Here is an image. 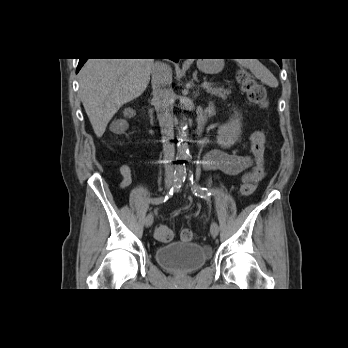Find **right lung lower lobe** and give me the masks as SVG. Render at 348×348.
Instances as JSON below:
<instances>
[{"label": "right lung lower lobe", "instance_id": "1", "mask_svg": "<svg viewBox=\"0 0 348 348\" xmlns=\"http://www.w3.org/2000/svg\"><path fill=\"white\" fill-rule=\"evenodd\" d=\"M87 59H79V63H78V67L76 72L78 73V71L81 69V67L84 65V63L86 62ZM173 61L177 62L178 59H172Z\"/></svg>", "mask_w": 348, "mask_h": 348}]
</instances>
